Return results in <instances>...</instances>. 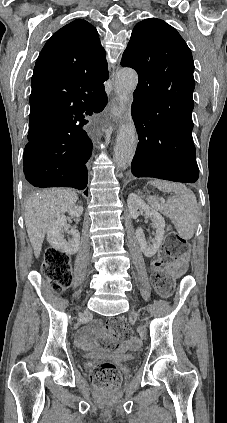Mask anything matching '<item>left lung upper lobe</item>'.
<instances>
[{
	"instance_id": "5c2ea615",
	"label": "left lung upper lobe",
	"mask_w": 227,
	"mask_h": 423,
	"mask_svg": "<svg viewBox=\"0 0 227 423\" xmlns=\"http://www.w3.org/2000/svg\"><path fill=\"white\" fill-rule=\"evenodd\" d=\"M121 65L136 70L133 107L192 112L195 87L192 53L172 26L157 18L136 24Z\"/></svg>"
}]
</instances>
